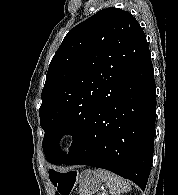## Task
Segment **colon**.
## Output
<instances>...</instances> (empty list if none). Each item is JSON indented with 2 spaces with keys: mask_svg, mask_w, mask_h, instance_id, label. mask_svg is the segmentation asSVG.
I'll use <instances>...</instances> for the list:
<instances>
[{
  "mask_svg": "<svg viewBox=\"0 0 178 195\" xmlns=\"http://www.w3.org/2000/svg\"><path fill=\"white\" fill-rule=\"evenodd\" d=\"M77 174L76 172H68L58 185L60 195H70V192L75 184Z\"/></svg>",
  "mask_w": 178,
  "mask_h": 195,
  "instance_id": "obj_1",
  "label": "colon"
}]
</instances>
